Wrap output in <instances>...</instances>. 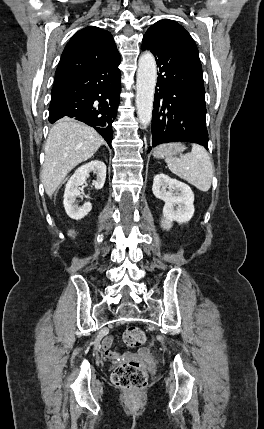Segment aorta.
Instances as JSON below:
<instances>
[{"label": "aorta", "instance_id": "aorta-1", "mask_svg": "<svg viewBox=\"0 0 264 429\" xmlns=\"http://www.w3.org/2000/svg\"><path fill=\"white\" fill-rule=\"evenodd\" d=\"M156 78L157 70L154 56L150 52H144L138 61L136 107L138 119L145 127L152 119Z\"/></svg>", "mask_w": 264, "mask_h": 429}]
</instances>
